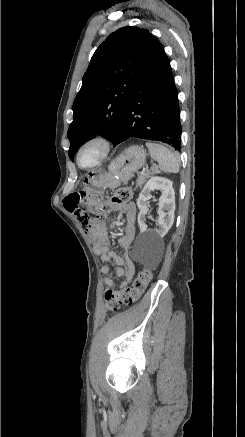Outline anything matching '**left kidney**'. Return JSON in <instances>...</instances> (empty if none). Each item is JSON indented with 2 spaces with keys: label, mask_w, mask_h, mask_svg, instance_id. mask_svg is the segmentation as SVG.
<instances>
[{
  "label": "left kidney",
  "mask_w": 245,
  "mask_h": 437,
  "mask_svg": "<svg viewBox=\"0 0 245 437\" xmlns=\"http://www.w3.org/2000/svg\"><path fill=\"white\" fill-rule=\"evenodd\" d=\"M155 190H160L161 192L158 209L159 217L157 220L158 229L149 230L146 225V215L148 212L147 203L152 198L151 193ZM137 206L140 210L137 218L140 233L153 240L163 238L174 222L175 192L172 181L164 177H152L139 194Z\"/></svg>",
  "instance_id": "obj_1"
}]
</instances>
